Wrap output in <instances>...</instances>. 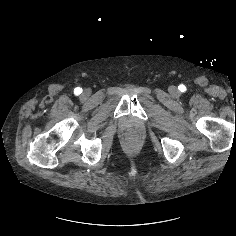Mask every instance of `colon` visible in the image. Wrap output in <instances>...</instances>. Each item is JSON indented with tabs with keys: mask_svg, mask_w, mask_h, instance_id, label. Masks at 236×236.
Returning a JSON list of instances; mask_svg holds the SVG:
<instances>
[{
	"mask_svg": "<svg viewBox=\"0 0 236 236\" xmlns=\"http://www.w3.org/2000/svg\"><path fill=\"white\" fill-rule=\"evenodd\" d=\"M137 133L136 131L134 130H129L127 133H126V138L127 139H134L136 137Z\"/></svg>",
	"mask_w": 236,
	"mask_h": 236,
	"instance_id": "5ec220e1",
	"label": "colon"
}]
</instances>
